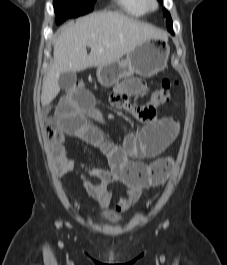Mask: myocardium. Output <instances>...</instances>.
<instances>
[{"instance_id":"f54148a6","label":"myocardium","mask_w":227,"mask_h":265,"mask_svg":"<svg viewBox=\"0 0 227 265\" xmlns=\"http://www.w3.org/2000/svg\"><path fill=\"white\" fill-rule=\"evenodd\" d=\"M145 7L147 11H155L159 7L158 0H145Z\"/></svg>"}]
</instances>
